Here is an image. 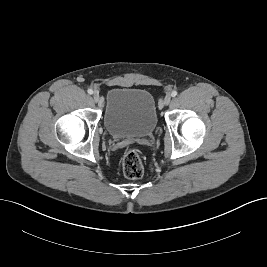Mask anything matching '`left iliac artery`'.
<instances>
[{"label":"left iliac artery","instance_id":"obj_1","mask_svg":"<svg viewBox=\"0 0 267 267\" xmlns=\"http://www.w3.org/2000/svg\"><path fill=\"white\" fill-rule=\"evenodd\" d=\"M177 95V91H172L171 96L175 97Z\"/></svg>","mask_w":267,"mask_h":267}]
</instances>
